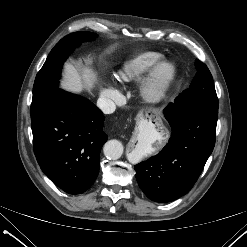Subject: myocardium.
<instances>
[{
  "instance_id": "1",
  "label": "myocardium",
  "mask_w": 247,
  "mask_h": 247,
  "mask_svg": "<svg viewBox=\"0 0 247 247\" xmlns=\"http://www.w3.org/2000/svg\"><path fill=\"white\" fill-rule=\"evenodd\" d=\"M175 75V64L170 60H160L141 84L142 97L149 103L160 102L168 93Z\"/></svg>"
}]
</instances>
